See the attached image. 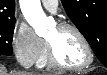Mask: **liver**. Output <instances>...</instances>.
<instances>
[{"label": "liver", "instance_id": "obj_1", "mask_svg": "<svg viewBox=\"0 0 107 75\" xmlns=\"http://www.w3.org/2000/svg\"><path fill=\"white\" fill-rule=\"evenodd\" d=\"M0 75H8L7 70L2 66L0 68ZM11 75H41V74H31V73H27V72H16Z\"/></svg>", "mask_w": 107, "mask_h": 75}]
</instances>
